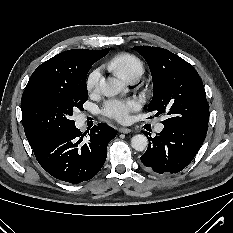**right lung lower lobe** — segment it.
I'll list each match as a JSON object with an SVG mask.
<instances>
[{
	"mask_svg": "<svg viewBox=\"0 0 233 233\" xmlns=\"http://www.w3.org/2000/svg\"><path fill=\"white\" fill-rule=\"evenodd\" d=\"M85 135L74 125L48 136L32 149L38 163L51 176L80 183L100 171L106 160L107 145L116 136V131L99 123L90 130L87 140Z\"/></svg>",
	"mask_w": 233,
	"mask_h": 233,
	"instance_id": "right-lung-lower-lobe-1",
	"label": "right lung lower lobe"
}]
</instances>
